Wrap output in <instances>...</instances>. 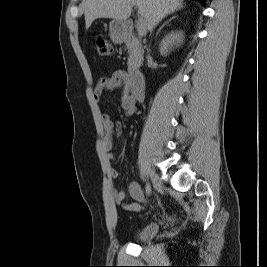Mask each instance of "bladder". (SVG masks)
<instances>
[{"mask_svg":"<svg viewBox=\"0 0 267 267\" xmlns=\"http://www.w3.org/2000/svg\"><path fill=\"white\" fill-rule=\"evenodd\" d=\"M158 229L157 224H148L136 232L134 239L137 242H147L157 234Z\"/></svg>","mask_w":267,"mask_h":267,"instance_id":"31cf9c89","label":"bladder"}]
</instances>
